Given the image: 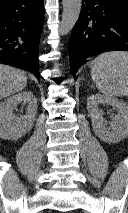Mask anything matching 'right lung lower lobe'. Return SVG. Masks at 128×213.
<instances>
[{
    "label": "right lung lower lobe",
    "mask_w": 128,
    "mask_h": 213,
    "mask_svg": "<svg viewBox=\"0 0 128 213\" xmlns=\"http://www.w3.org/2000/svg\"><path fill=\"white\" fill-rule=\"evenodd\" d=\"M43 20L44 0H0V61L33 72L38 80Z\"/></svg>",
    "instance_id": "98d812e1"
}]
</instances>
